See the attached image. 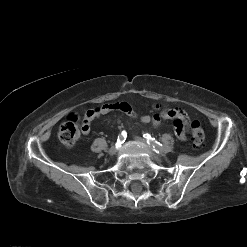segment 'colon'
Instances as JSON below:
<instances>
[{"mask_svg":"<svg viewBox=\"0 0 247 247\" xmlns=\"http://www.w3.org/2000/svg\"><path fill=\"white\" fill-rule=\"evenodd\" d=\"M81 133L79 117L70 115L60 126L58 137L63 145L72 147L78 141ZM205 138V133L198 121L191 123V141L195 147H200Z\"/></svg>","mask_w":247,"mask_h":247,"instance_id":"colon-1","label":"colon"}]
</instances>
